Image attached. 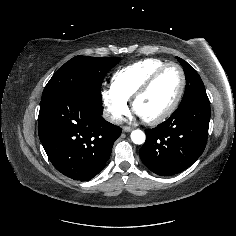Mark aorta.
I'll return each instance as SVG.
<instances>
[{
  "label": "aorta",
  "mask_w": 236,
  "mask_h": 236,
  "mask_svg": "<svg viewBox=\"0 0 236 236\" xmlns=\"http://www.w3.org/2000/svg\"><path fill=\"white\" fill-rule=\"evenodd\" d=\"M131 140L134 144L141 145L145 142L146 136L142 130L136 129L131 132Z\"/></svg>",
  "instance_id": "obj_1"
}]
</instances>
